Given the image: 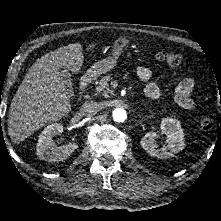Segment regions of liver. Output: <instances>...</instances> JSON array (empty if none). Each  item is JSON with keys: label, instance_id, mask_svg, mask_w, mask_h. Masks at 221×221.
Segmentation results:
<instances>
[{"label": "liver", "instance_id": "6515ba94", "mask_svg": "<svg viewBox=\"0 0 221 221\" xmlns=\"http://www.w3.org/2000/svg\"><path fill=\"white\" fill-rule=\"evenodd\" d=\"M84 56L80 43L45 54L31 66L10 105L8 134L20 144L39 128L66 116L72 105L60 69L79 72Z\"/></svg>", "mask_w": 221, "mask_h": 221}]
</instances>
